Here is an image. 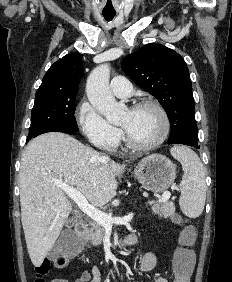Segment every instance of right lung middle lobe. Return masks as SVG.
I'll use <instances>...</instances> for the list:
<instances>
[{
	"mask_svg": "<svg viewBox=\"0 0 232 282\" xmlns=\"http://www.w3.org/2000/svg\"><path fill=\"white\" fill-rule=\"evenodd\" d=\"M76 94L36 93L27 139L61 126L78 131L74 116Z\"/></svg>",
	"mask_w": 232,
	"mask_h": 282,
	"instance_id": "obj_1",
	"label": "right lung middle lobe"
}]
</instances>
